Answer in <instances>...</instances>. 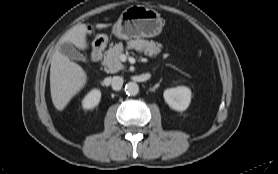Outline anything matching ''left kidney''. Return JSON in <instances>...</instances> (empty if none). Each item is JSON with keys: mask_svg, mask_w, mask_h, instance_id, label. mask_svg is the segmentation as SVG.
Listing matches in <instances>:
<instances>
[{"mask_svg": "<svg viewBox=\"0 0 278 174\" xmlns=\"http://www.w3.org/2000/svg\"><path fill=\"white\" fill-rule=\"evenodd\" d=\"M165 102L174 110L184 111L191 101V90L185 86L169 88L164 91Z\"/></svg>", "mask_w": 278, "mask_h": 174, "instance_id": "5707ae66", "label": "left kidney"}]
</instances>
